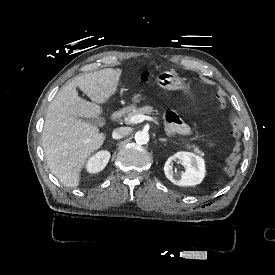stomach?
I'll use <instances>...</instances> for the list:
<instances>
[{"label": "stomach", "instance_id": "obj_1", "mask_svg": "<svg viewBox=\"0 0 275 275\" xmlns=\"http://www.w3.org/2000/svg\"><path fill=\"white\" fill-rule=\"evenodd\" d=\"M157 84L166 90H188L189 85L180 78L175 71H164L156 77ZM140 94H135L132 98L133 107L141 101Z\"/></svg>", "mask_w": 275, "mask_h": 275}]
</instances>
